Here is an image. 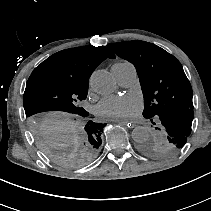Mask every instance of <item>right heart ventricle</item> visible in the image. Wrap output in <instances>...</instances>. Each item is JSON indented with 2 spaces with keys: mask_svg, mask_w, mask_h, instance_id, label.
<instances>
[{
  "mask_svg": "<svg viewBox=\"0 0 211 211\" xmlns=\"http://www.w3.org/2000/svg\"><path fill=\"white\" fill-rule=\"evenodd\" d=\"M122 63H124V64H130V63H128V62H122Z\"/></svg>",
  "mask_w": 211,
  "mask_h": 211,
  "instance_id": "obj_1",
  "label": "right heart ventricle"
}]
</instances>
